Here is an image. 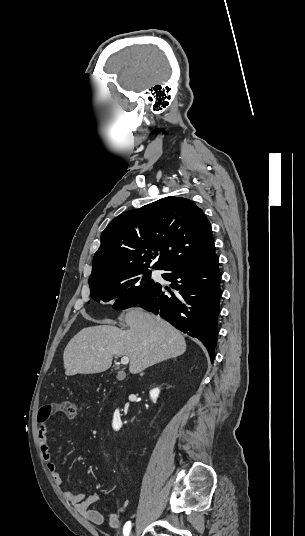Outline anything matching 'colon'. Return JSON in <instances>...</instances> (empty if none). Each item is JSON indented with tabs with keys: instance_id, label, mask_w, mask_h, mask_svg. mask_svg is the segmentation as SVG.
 <instances>
[{
	"instance_id": "obj_1",
	"label": "colon",
	"mask_w": 305,
	"mask_h": 536,
	"mask_svg": "<svg viewBox=\"0 0 305 536\" xmlns=\"http://www.w3.org/2000/svg\"><path fill=\"white\" fill-rule=\"evenodd\" d=\"M54 413L59 416H64L70 419H74L76 416L74 404L69 401H62L47 407L45 411H39L37 423L43 424V417L45 415L53 416Z\"/></svg>"
}]
</instances>
